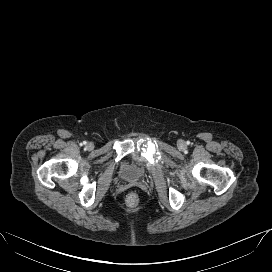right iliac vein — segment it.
Masks as SVG:
<instances>
[{
  "instance_id": "right-iliac-vein-1",
  "label": "right iliac vein",
  "mask_w": 272,
  "mask_h": 272,
  "mask_svg": "<svg viewBox=\"0 0 272 272\" xmlns=\"http://www.w3.org/2000/svg\"><path fill=\"white\" fill-rule=\"evenodd\" d=\"M93 147H94V145H93L91 142L87 143V145H86V148H87L88 150H92Z\"/></svg>"
}]
</instances>
